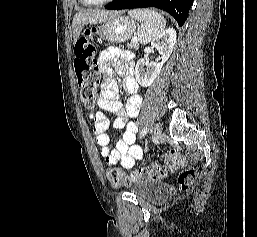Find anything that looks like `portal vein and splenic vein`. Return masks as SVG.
I'll return each mask as SVG.
<instances>
[{
	"label": "portal vein and splenic vein",
	"mask_w": 257,
	"mask_h": 237,
	"mask_svg": "<svg viewBox=\"0 0 257 237\" xmlns=\"http://www.w3.org/2000/svg\"><path fill=\"white\" fill-rule=\"evenodd\" d=\"M132 42H138L137 37L132 38Z\"/></svg>",
	"instance_id": "18ae733b"
}]
</instances>
